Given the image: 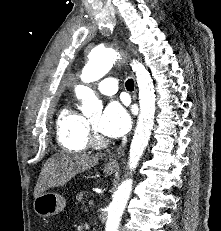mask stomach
Instances as JSON below:
<instances>
[{
  "label": "stomach",
  "mask_w": 221,
  "mask_h": 231,
  "mask_svg": "<svg viewBox=\"0 0 221 231\" xmlns=\"http://www.w3.org/2000/svg\"><path fill=\"white\" fill-rule=\"evenodd\" d=\"M115 169L104 168V173L111 175ZM66 206L65 198L57 193L44 192L36 197L33 202V208L36 214L42 217H48L63 211Z\"/></svg>",
  "instance_id": "0dacf381"
}]
</instances>
